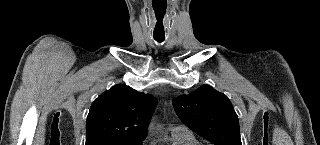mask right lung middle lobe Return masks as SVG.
<instances>
[{"mask_svg":"<svg viewBox=\"0 0 320 145\" xmlns=\"http://www.w3.org/2000/svg\"><path fill=\"white\" fill-rule=\"evenodd\" d=\"M143 140L138 141H117V140H104L96 142L92 145H141Z\"/></svg>","mask_w":320,"mask_h":145,"instance_id":"dd1d6c3e","label":"right lung middle lobe"}]
</instances>
